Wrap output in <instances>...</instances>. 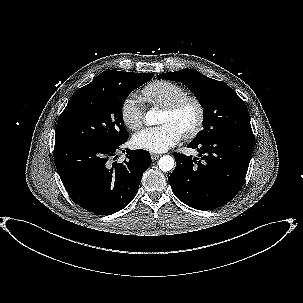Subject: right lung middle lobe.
Returning <instances> with one entry per match:
<instances>
[{"label":"right lung middle lobe","instance_id":"1","mask_svg":"<svg viewBox=\"0 0 303 303\" xmlns=\"http://www.w3.org/2000/svg\"><path fill=\"white\" fill-rule=\"evenodd\" d=\"M153 76L133 72L124 76L106 75L78 89L58 119L55 145L72 142L109 145L128 139L122 118L124 101Z\"/></svg>","mask_w":303,"mask_h":303}]
</instances>
